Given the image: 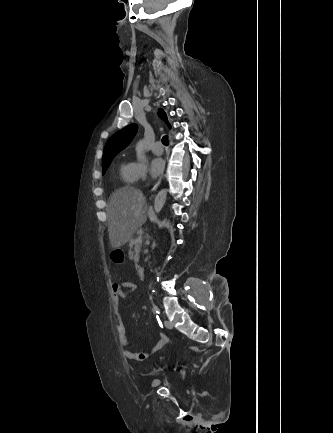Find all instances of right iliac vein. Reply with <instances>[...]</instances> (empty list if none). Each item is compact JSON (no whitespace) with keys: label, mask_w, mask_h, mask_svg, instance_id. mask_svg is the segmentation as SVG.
Masks as SVG:
<instances>
[{"label":"right iliac vein","mask_w":333,"mask_h":433,"mask_svg":"<svg viewBox=\"0 0 333 433\" xmlns=\"http://www.w3.org/2000/svg\"><path fill=\"white\" fill-rule=\"evenodd\" d=\"M160 384V380L159 379H155L152 383V387H156Z\"/></svg>","instance_id":"obj_1"}]
</instances>
